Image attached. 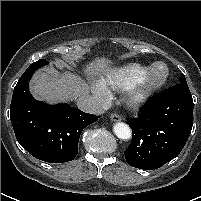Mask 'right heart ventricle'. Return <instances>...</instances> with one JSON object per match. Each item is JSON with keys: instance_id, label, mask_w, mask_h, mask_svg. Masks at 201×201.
I'll use <instances>...</instances> for the list:
<instances>
[{"instance_id": "e07e8e85", "label": "right heart ventricle", "mask_w": 201, "mask_h": 201, "mask_svg": "<svg viewBox=\"0 0 201 201\" xmlns=\"http://www.w3.org/2000/svg\"><path fill=\"white\" fill-rule=\"evenodd\" d=\"M149 67L140 63H128L109 71L102 82L104 87L123 91L135 83Z\"/></svg>"}]
</instances>
